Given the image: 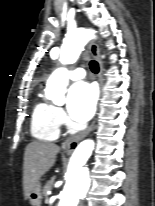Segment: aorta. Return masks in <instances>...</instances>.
I'll list each match as a JSON object with an SVG mask.
<instances>
[{
	"mask_svg": "<svg viewBox=\"0 0 155 206\" xmlns=\"http://www.w3.org/2000/svg\"><path fill=\"white\" fill-rule=\"evenodd\" d=\"M94 32L88 29H77L67 34L60 51V62L63 65L76 62L85 44L94 38ZM68 85V71L66 68L55 70L46 85V96L55 104L64 103V93ZM94 149V141L84 140L76 147L72 154L66 174V183L60 194L58 206H78L90 187L89 171L85 164Z\"/></svg>",
	"mask_w": 155,
	"mask_h": 206,
	"instance_id": "1",
	"label": "aorta"
}]
</instances>
